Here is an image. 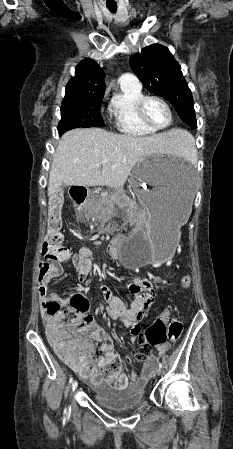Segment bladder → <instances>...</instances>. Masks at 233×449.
<instances>
[{
  "mask_svg": "<svg viewBox=\"0 0 233 449\" xmlns=\"http://www.w3.org/2000/svg\"><path fill=\"white\" fill-rule=\"evenodd\" d=\"M96 403L107 410L121 412L134 409L145 400L143 387L118 389L108 384H98L91 388Z\"/></svg>",
  "mask_w": 233,
  "mask_h": 449,
  "instance_id": "31cf9c89",
  "label": "bladder"
}]
</instances>
